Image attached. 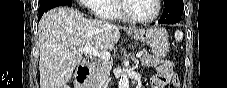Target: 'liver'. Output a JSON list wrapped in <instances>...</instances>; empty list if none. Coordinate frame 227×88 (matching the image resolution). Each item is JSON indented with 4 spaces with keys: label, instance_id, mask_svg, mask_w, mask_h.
I'll list each match as a JSON object with an SVG mask.
<instances>
[{
    "label": "liver",
    "instance_id": "liver-1",
    "mask_svg": "<svg viewBox=\"0 0 227 88\" xmlns=\"http://www.w3.org/2000/svg\"><path fill=\"white\" fill-rule=\"evenodd\" d=\"M119 29L106 21L86 19L74 8L47 11L38 24L40 88H65L82 60L75 51L85 46L98 52L112 49L120 39Z\"/></svg>",
    "mask_w": 227,
    "mask_h": 88
}]
</instances>
